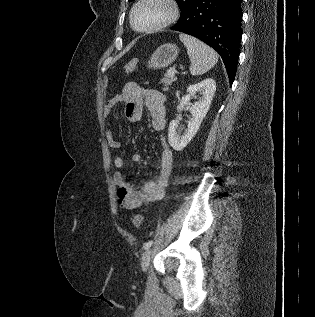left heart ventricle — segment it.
I'll list each match as a JSON object with an SVG mask.
<instances>
[{"label":"left heart ventricle","mask_w":315,"mask_h":317,"mask_svg":"<svg viewBox=\"0 0 315 317\" xmlns=\"http://www.w3.org/2000/svg\"><path fill=\"white\" fill-rule=\"evenodd\" d=\"M167 8L156 1L140 5L134 14V23L138 28H147L161 22L167 16Z\"/></svg>","instance_id":"b2bd125f"}]
</instances>
